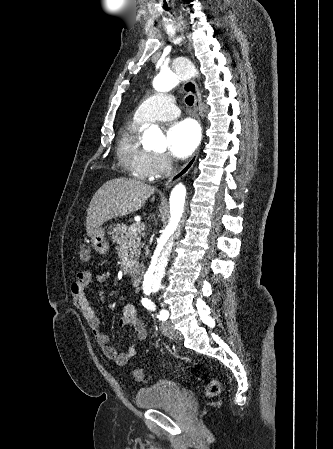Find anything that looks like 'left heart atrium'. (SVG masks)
I'll list each match as a JSON object with an SVG mask.
<instances>
[{
	"mask_svg": "<svg viewBox=\"0 0 333 449\" xmlns=\"http://www.w3.org/2000/svg\"><path fill=\"white\" fill-rule=\"evenodd\" d=\"M200 141V129L190 119L178 121L167 131L170 153L178 159H185L196 149Z\"/></svg>",
	"mask_w": 333,
	"mask_h": 449,
	"instance_id": "39dd6f15",
	"label": "left heart atrium"
}]
</instances>
